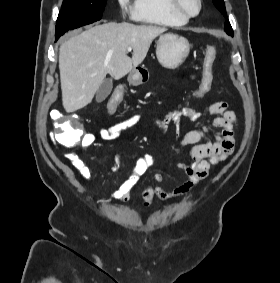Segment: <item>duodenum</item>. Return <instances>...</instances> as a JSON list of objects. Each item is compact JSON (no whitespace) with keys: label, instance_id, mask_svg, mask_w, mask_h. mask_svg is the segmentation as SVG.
Segmentation results:
<instances>
[{"label":"duodenum","instance_id":"410a0bca","mask_svg":"<svg viewBox=\"0 0 280 283\" xmlns=\"http://www.w3.org/2000/svg\"><path fill=\"white\" fill-rule=\"evenodd\" d=\"M136 79L140 81V80H141V77H140V76H138Z\"/></svg>","mask_w":280,"mask_h":283}]
</instances>
